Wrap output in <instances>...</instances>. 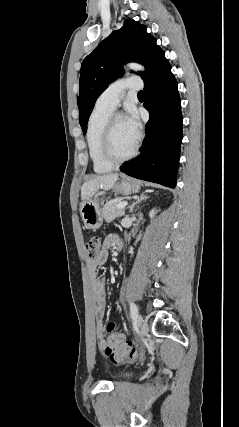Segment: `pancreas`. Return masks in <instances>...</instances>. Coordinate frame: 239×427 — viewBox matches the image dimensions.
Masks as SVG:
<instances>
[{"mask_svg": "<svg viewBox=\"0 0 239 427\" xmlns=\"http://www.w3.org/2000/svg\"><path fill=\"white\" fill-rule=\"evenodd\" d=\"M117 200L107 202L102 208V215L106 222H112L115 218L122 217L125 209H117Z\"/></svg>", "mask_w": 239, "mask_h": 427, "instance_id": "pancreas-1", "label": "pancreas"}]
</instances>
